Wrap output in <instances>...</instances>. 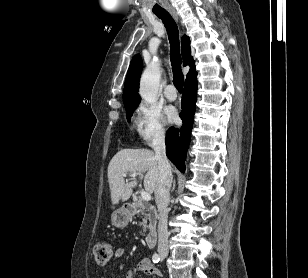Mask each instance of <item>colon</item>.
I'll use <instances>...</instances> for the list:
<instances>
[{
    "label": "colon",
    "mask_w": 308,
    "mask_h": 278,
    "mask_svg": "<svg viewBox=\"0 0 308 278\" xmlns=\"http://www.w3.org/2000/svg\"><path fill=\"white\" fill-rule=\"evenodd\" d=\"M93 255L99 266H105L113 256V248L107 242H98L93 248Z\"/></svg>",
    "instance_id": "obj_1"
}]
</instances>
